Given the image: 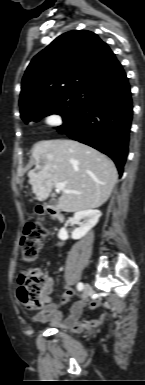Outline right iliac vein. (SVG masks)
Masks as SVG:
<instances>
[{
  "instance_id": "63e3f726",
  "label": "right iliac vein",
  "mask_w": 145,
  "mask_h": 385,
  "mask_svg": "<svg viewBox=\"0 0 145 385\" xmlns=\"http://www.w3.org/2000/svg\"><path fill=\"white\" fill-rule=\"evenodd\" d=\"M90 292H91V287L88 284H85L83 293H82V298L86 300L89 297Z\"/></svg>"
}]
</instances>
